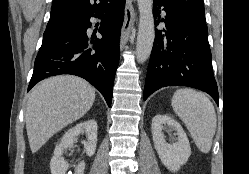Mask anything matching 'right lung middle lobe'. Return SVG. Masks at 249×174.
Returning a JSON list of instances; mask_svg holds the SVG:
<instances>
[{"mask_svg": "<svg viewBox=\"0 0 249 174\" xmlns=\"http://www.w3.org/2000/svg\"><path fill=\"white\" fill-rule=\"evenodd\" d=\"M52 28H53V27H52ZM52 28H46V30H45V32H44L43 38H45V37L49 34V32L51 31Z\"/></svg>", "mask_w": 249, "mask_h": 174, "instance_id": "1", "label": "right lung middle lobe"}]
</instances>
